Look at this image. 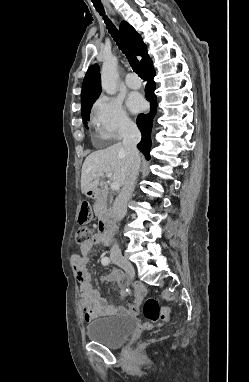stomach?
<instances>
[{
    "label": "stomach",
    "mask_w": 249,
    "mask_h": 382,
    "mask_svg": "<svg viewBox=\"0 0 249 382\" xmlns=\"http://www.w3.org/2000/svg\"><path fill=\"white\" fill-rule=\"evenodd\" d=\"M93 194H94V193H93L92 191H87V192H86V197H87V198H92V197H93Z\"/></svg>",
    "instance_id": "1"
}]
</instances>
